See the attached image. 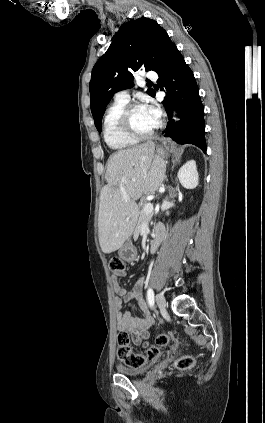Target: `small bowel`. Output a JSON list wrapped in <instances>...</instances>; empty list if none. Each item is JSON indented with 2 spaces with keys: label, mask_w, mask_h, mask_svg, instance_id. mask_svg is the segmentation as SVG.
Here are the masks:
<instances>
[{
  "label": "small bowel",
  "mask_w": 265,
  "mask_h": 423,
  "mask_svg": "<svg viewBox=\"0 0 265 423\" xmlns=\"http://www.w3.org/2000/svg\"><path fill=\"white\" fill-rule=\"evenodd\" d=\"M161 227V226H160ZM126 275L125 269L119 273L112 272L111 286L114 298L112 306L115 312L117 328L120 331L127 332L135 345H141L149 337V328L154 319L148 311L145 299L143 297L144 280L138 279L133 290L128 292L118 283V278ZM135 300L142 312L140 317L133 316L130 312H122L123 305Z\"/></svg>",
  "instance_id": "obj_1"
}]
</instances>
